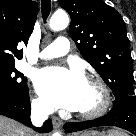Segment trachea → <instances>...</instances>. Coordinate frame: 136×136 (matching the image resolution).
Returning <instances> with one entry per match:
<instances>
[{
	"mask_svg": "<svg viewBox=\"0 0 136 136\" xmlns=\"http://www.w3.org/2000/svg\"><path fill=\"white\" fill-rule=\"evenodd\" d=\"M50 10H51V0H41V11L44 21L49 16Z\"/></svg>",
	"mask_w": 136,
	"mask_h": 136,
	"instance_id": "3493384b",
	"label": "trachea"
}]
</instances>
